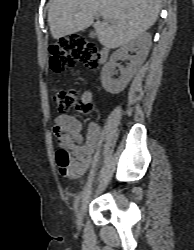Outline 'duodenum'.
Instances as JSON below:
<instances>
[{
	"label": "duodenum",
	"instance_id": "obj_1",
	"mask_svg": "<svg viewBox=\"0 0 194 250\" xmlns=\"http://www.w3.org/2000/svg\"><path fill=\"white\" fill-rule=\"evenodd\" d=\"M108 57V50L106 48H103L101 50V55H100V62H105Z\"/></svg>",
	"mask_w": 194,
	"mask_h": 250
}]
</instances>
